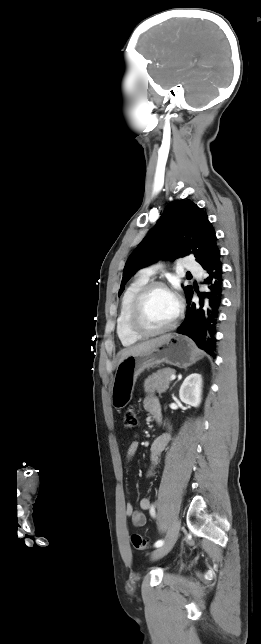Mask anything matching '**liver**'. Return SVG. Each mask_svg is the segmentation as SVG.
<instances>
[{
  "mask_svg": "<svg viewBox=\"0 0 261 644\" xmlns=\"http://www.w3.org/2000/svg\"><path fill=\"white\" fill-rule=\"evenodd\" d=\"M170 338V335H163L155 339H151L135 346H131L121 351L119 363L122 362L125 358L131 355L140 354L143 352H148L153 348L165 343Z\"/></svg>",
  "mask_w": 261,
  "mask_h": 644,
  "instance_id": "6515ba94",
  "label": "liver"
}]
</instances>
